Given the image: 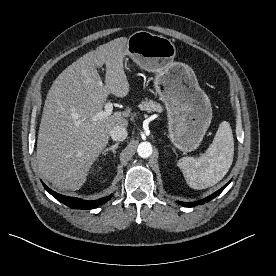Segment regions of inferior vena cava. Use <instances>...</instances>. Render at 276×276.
<instances>
[{
	"instance_id": "inferior-vena-cava-1",
	"label": "inferior vena cava",
	"mask_w": 276,
	"mask_h": 276,
	"mask_svg": "<svg viewBox=\"0 0 276 276\" xmlns=\"http://www.w3.org/2000/svg\"><path fill=\"white\" fill-rule=\"evenodd\" d=\"M127 130L122 126H115L110 131V136L114 141H124L127 138Z\"/></svg>"
}]
</instances>
